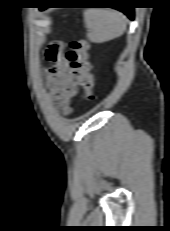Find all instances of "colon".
I'll use <instances>...</instances> for the list:
<instances>
[{
  "instance_id": "5ec220e1",
  "label": "colon",
  "mask_w": 170,
  "mask_h": 231,
  "mask_svg": "<svg viewBox=\"0 0 170 231\" xmlns=\"http://www.w3.org/2000/svg\"><path fill=\"white\" fill-rule=\"evenodd\" d=\"M67 60L79 86L84 91V97L89 101L93 100L95 78L91 61L90 41L87 39L73 41L67 53Z\"/></svg>"
}]
</instances>
